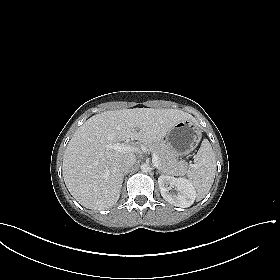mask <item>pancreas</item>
Returning <instances> with one entry per match:
<instances>
[{
	"label": "pancreas",
	"mask_w": 280,
	"mask_h": 280,
	"mask_svg": "<svg viewBox=\"0 0 280 280\" xmlns=\"http://www.w3.org/2000/svg\"><path fill=\"white\" fill-rule=\"evenodd\" d=\"M149 151L156 153L160 169L170 175L180 176L187 173L188 165L183 160H178L172 148L162 140L147 143Z\"/></svg>",
	"instance_id": "obj_1"
}]
</instances>
